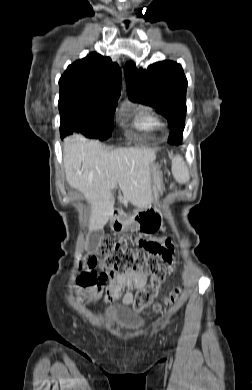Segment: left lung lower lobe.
<instances>
[{
    "instance_id": "obj_1",
    "label": "left lung lower lobe",
    "mask_w": 252,
    "mask_h": 390,
    "mask_svg": "<svg viewBox=\"0 0 252 390\" xmlns=\"http://www.w3.org/2000/svg\"><path fill=\"white\" fill-rule=\"evenodd\" d=\"M181 141H182V137L177 141V143L176 144H180L181 143Z\"/></svg>"
}]
</instances>
